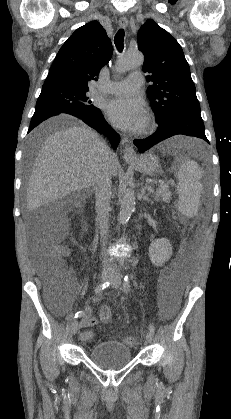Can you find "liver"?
I'll list each match as a JSON object with an SVG mask.
<instances>
[{
	"instance_id": "6515ba94",
	"label": "liver",
	"mask_w": 231,
	"mask_h": 419,
	"mask_svg": "<svg viewBox=\"0 0 231 419\" xmlns=\"http://www.w3.org/2000/svg\"><path fill=\"white\" fill-rule=\"evenodd\" d=\"M66 118H53L45 123V128L51 130ZM108 149L104 140L86 126L75 125L49 134L32 167L27 187L28 209L95 187ZM109 168L111 175H117V157L109 161Z\"/></svg>"
}]
</instances>
